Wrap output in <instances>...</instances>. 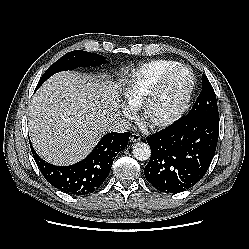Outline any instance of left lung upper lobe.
<instances>
[{"instance_id": "5c2ea615", "label": "left lung upper lobe", "mask_w": 249, "mask_h": 249, "mask_svg": "<svg viewBox=\"0 0 249 249\" xmlns=\"http://www.w3.org/2000/svg\"><path fill=\"white\" fill-rule=\"evenodd\" d=\"M185 117L219 120L216 95L205 74H202V90L192 109Z\"/></svg>"}]
</instances>
